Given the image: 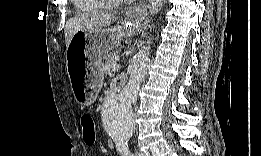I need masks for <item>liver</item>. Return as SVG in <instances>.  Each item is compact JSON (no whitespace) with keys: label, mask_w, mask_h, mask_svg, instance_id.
<instances>
[{"label":"liver","mask_w":261,"mask_h":156,"mask_svg":"<svg viewBox=\"0 0 261 156\" xmlns=\"http://www.w3.org/2000/svg\"><path fill=\"white\" fill-rule=\"evenodd\" d=\"M116 19L117 17L114 13L80 15L68 19L64 29L66 47H68L71 38L78 31L109 28L112 22Z\"/></svg>","instance_id":"liver-1"}]
</instances>
